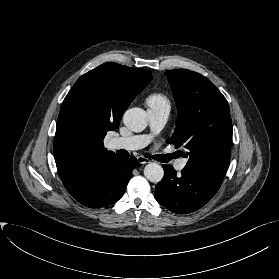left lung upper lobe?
<instances>
[{
    "instance_id": "obj_1",
    "label": "left lung upper lobe",
    "mask_w": 279,
    "mask_h": 279,
    "mask_svg": "<svg viewBox=\"0 0 279 279\" xmlns=\"http://www.w3.org/2000/svg\"><path fill=\"white\" fill-rule=\"evenodd\" d=\"M168 77L178 117L170 144L186 149L184 171L221 185L230 164L232 122L228 102L216 86L199 73L175 69Z\"/></svg>"
}]
</instances>
